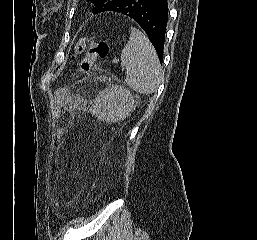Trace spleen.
<instances>
[{"instance_id":"spleen-1","label":"spleen","mask_w":257,"mask_h":240,"mask_svg":"<svg viewBox=\"0 0 257 240\" xmlns=\"http://www.w3.org/2000/svg\"><path fill=\"white\" fill-rule=\"evenodd\" d=\"M127 85L141 94L154 93L162 79L157 53L149 39L131 27L128 43L121 52Z\"/></svg>"}]
</instances>
